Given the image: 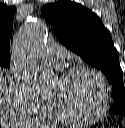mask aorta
Returning a JSON list of instances; mask_svg holds the SVG:
<instances>
[{
  "label": "aorta",
  "instance_id": "762f6f07",
  "mask_svg": "<svg viewBox=\"0 0 125 128\" xmlns=\"http://www.w3.org/2000/svg\"><path fill=\"white\" fill-rule=\"evenodd\" d=\"M47 36L46 26L36 21L27 23L13 41L17 67L41 90L51 89L54 83L52 72L39 55V50L44 45Z\"/></svg>",
  "mask_w": 125,
  "mask_h": 128
}]
</instances>
